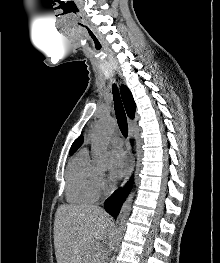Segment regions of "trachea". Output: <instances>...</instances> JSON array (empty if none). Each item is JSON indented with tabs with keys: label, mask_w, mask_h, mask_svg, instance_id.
<instances>
[{
	"label": "trachea",
	"mask_w": 220,
	"mask_h": 263,
	"mask_svg": "<svg viewBox=\"0 0 220 263\" xmlns=\"http://www.w3.org/2000/svg\"><path fill=\"white\" fill-rule=\"evenodd\" d=\"M112 91H113L114 110H115L117 123L122 135L126 138L128 135L127 118L119 95L118 87L115 84L113 85Z\"/></svg>",
	"instance_id": "1"
}]
</instances>
